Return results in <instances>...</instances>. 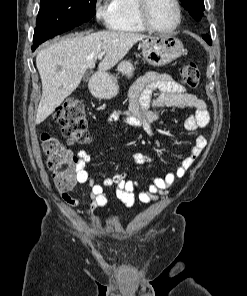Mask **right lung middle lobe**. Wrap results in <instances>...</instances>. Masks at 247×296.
Returning <instances> with one entry per match:
<instances>
[{
    "label": "right lung middle lobe",
    "mask_w": 247,
    "mask_h": 296,
    "mask_svg": "<svg viewBox=\"0 0 247 296\" xmlns=\"http://www.w3.org/2000/svg\"><path fill=\"white\" fill-rule=\"evenodd\" d=\"M96 0H41L33 45L68 31L95 15Z\"/></svg>",
    "instance_id": "right-lung-middle-lobe-1"
}]
</instances>
